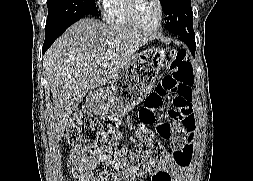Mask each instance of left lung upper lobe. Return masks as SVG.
<instances>
[{"mask_svg": "<svg viewBox=\"0 0 253 181\" xmlns=\"http://www.w3.org/2000/svg\"><path fill=\"white\" fill-rule=\"evenodd\" d=\"M166 15L165 28L177 35L195 38L190 0H160Z\"/></svg>", "mask_w": 253, "mask_h": 181, "instance_id": "1", "label": "left lung upper lobe"}]
</instances>
